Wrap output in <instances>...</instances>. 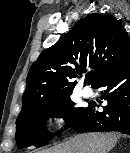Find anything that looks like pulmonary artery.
<instances>
[{
  "instance_id": "pulmonary-artery-1",
  "label": "pulmonary artery",
  "mask_w": 130,
  "mask_h": 153,
  "mask_svg": "<svg viewBox=\"0 0 130 153\" xmlns=\"http://www.w3.org/2000/svg\"><path fill=\"white\" fill-rule=\"evenodd\" d=\"M93 94H94V93H93L92 89H90V88H84V89L82 90V95H83L85 98L92 97Z\"/></svg>"
}]
</instances>
